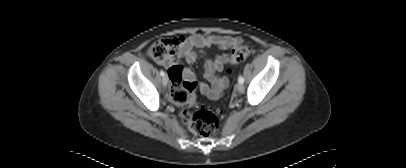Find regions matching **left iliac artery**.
<instances>
[{
	"label": "left iliac artery",
	"mask_w": 406,
	"mask_h": 168,
	"mask_svg": "<svg viewBox=\"0 0 406 168\" xmlns=\"http://www.w3.org/2000/svg\"><path fill=\"white\" fill-rule=\"evenodd\" d=\"M238 81H239V83L243 84L244 83V78L242 76H239Z\"/></svg>",
	"instance_id": "left-iliac-artery-1"
}]
</instances>
